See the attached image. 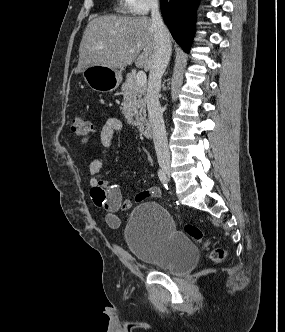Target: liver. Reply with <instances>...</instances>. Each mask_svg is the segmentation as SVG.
Instances as JSON below:
<instances>
[{"mask_svg": "<svg viewBox=\"0 0 285 332\" xmlns=\"http://www.w3.org/2000/svg\"><path fill=\"white\" fill-rule=\"evenodd\" d=\"M154 55L152 19L100 16L92 19L83 33L75 72L81 73L94 65L119 69L133 62L148 71Z\"/></svg>", "mask_w": 285, "mask_h": 332, "instance_id": "6515ba94", "label": "liver"}]
</instances>
